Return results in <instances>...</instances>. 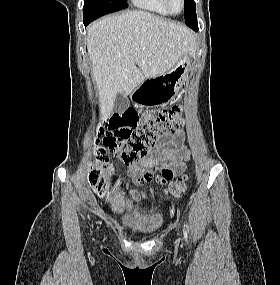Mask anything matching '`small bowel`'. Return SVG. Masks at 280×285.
<instances>
[{
  "mask_svg": "<svg viewBox=\"0 0 280 285\" xmlns=\"http://www.w3.org/2000/svg\"><path fill=\"white\" fill-rule=\"evenodd\" d=\"M183 136L176 133L172 139L167 136L156 145L150 156L142 157L139 162L128 164L131 181L136 185L152 182L155 180V171L161 172L159 181H166L174 175L184 171V160L189 158L188 150L182 145ZM172 144L173 147H168ZM161 154V156H157ZM135 198H144L145 193L133 194Z\"/></svg>",
  "mask_w": 280,
  "mask_h": 285,
  "instance_id": "c3829d8e",
  "label": "small bowel"
}]
</instances>
